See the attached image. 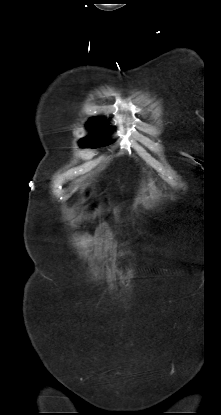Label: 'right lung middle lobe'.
Masks as SVG:
<instances>
[{
    "instance_id": "1",
    "label": "right lung middle lobe",
    "mask_w": 221,
    "mask_h": 415,
    "mask_svg": "<svg viewBox=\"0 0 221 415\" xmlns=\"http://www.w3.org/2000/svg\"><path fill=\"white\" fill-rule=\"evenodd\" d=\"M87 127L91 131V135L82 138L79 141L80 146L83 148L104 146L103 139L106 136L104 120L101 118H91L87 124Z\"/></svg>"
}]
</instances>
